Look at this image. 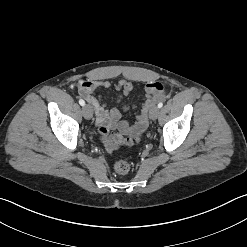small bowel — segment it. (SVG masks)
I'll return each instance as SVG.
<instances>
[{
  "mask_svg": "<svg viewBox=\"0 0 247 247\" xmlns=\"http://www.w3.org/2000/svg\"><path fill=\"white\" fill-rule=\"evenodd\" d=\"M112 84L106 80H80L77 84L78 93L89 103L94 110L96 122L100 127V133L106 143L108 150H112L118 143L130 144L138 140L147 126V112L153 102L164 94V87L159 82L149 83L145 87V99L141 106L140 114L134 124L122 120L121 112L116 108L109 109L101 99L94 95L97 89L109 91ZM119 92L118 101L135 89V85L127 80H120L114 85ZM135 106H133L134 108ZM130 106H124V110H130ZM111 130L117 132L107 138ZM126 136L127 138H124Z\"/></svg>",
  "mask_w": 247,
  "mask_h": 247,
  "instance_id": "c3829d8e",
  "label": "small bowel"
}]
</instances>
